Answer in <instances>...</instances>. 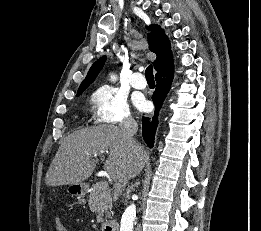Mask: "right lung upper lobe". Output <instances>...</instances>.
<instances>
[{"label":"right lung upper lobe","instance_id":"cb5924a9","mask_svg":"<svg viewBox=\"0 0 261 231\" xmlns=\"http://www.w3.org/2000/svg\"><path fill=\"white\" fill-rule=\"evenodd\" d=\"M150 30H152V32L148 34L149 49L157 55L153 65L157 73H159L173 66L171 45L168 37L165 35L160 26H151ZM105 60L106 57L103 56L92 65L86 78L82 81L78 92H83L95 80L105 63Z\"/></svg>","mask_w":261,"mask_h":231}]
</instances>
